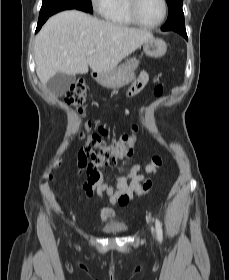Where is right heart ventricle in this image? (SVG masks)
Masks as SVG:
<instances>
[{
	"instance_id": "right-heart-ventricle-1",
	"label": "right heart ventricle",
	"mask_w": 229,
	"mask_h": 280,
	"mask_svg": "<svg viewBox=\"0 0 229 280\" xmlns=\"http://www.w3.org/2000/svg\"><path fill=\"white\" fill-rule=\"evenodd\" d=\"M103 17L107 22L119 27L135 25L127 10V0H112Z\"/></svg>"
}]
</instances>
